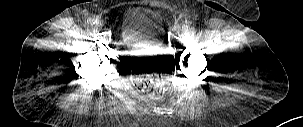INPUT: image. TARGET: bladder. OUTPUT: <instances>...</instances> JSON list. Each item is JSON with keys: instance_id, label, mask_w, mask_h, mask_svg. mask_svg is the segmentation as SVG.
<instances>
[{"instance_id": "1", "label": "bladder", "mask_w": 303, "mask_h": 127, "mask_svg": "<svg viewBox=\"0 0 303 127\" xmlns=\"http://www.w3.org/2000/svg\"><path fill=\"white\" fill-rule=\"evenodd\" d=\"M119 35L128 45L162 44L164 37L162 17L157 11L143 6L130 7L121 19Z\"/></svg>"}]
</instances>
